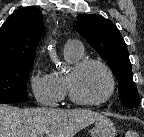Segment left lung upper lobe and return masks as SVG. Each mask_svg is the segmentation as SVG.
I'll list each match as a JSON object with an SVG mask.
<instances>
[{
    "mask_svg": "<svg viewBox=\"0 0 144 137\" xmlns=\"http://www.w3.org/2000/svg\"><path fill=\"white\" fill-rule=\"evenodd\" d=\"M76 30L108 61L119 87L120 99L128 108H137L139 95L134 84L126 44L117 27L100 15L81 14Z\"/></svg>",
    "mask_w": 144,
    "mask_h": 137,
    "instance_id": "obj_1",
    "label": "left lung upper lobe"
}]
</instances>
